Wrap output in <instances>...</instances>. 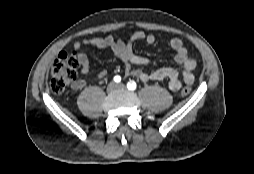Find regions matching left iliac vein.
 Returning <instances> with one entry per match:
<instances>
[{"mask_svg": "<svg viewBox=\"0 0 254 174\" xmlns=\"http://www.w3.org/2000/svg\"><path fill=\"white\" fill-rule=\"evenodd\" d=\"M117 88L123 89V88H125V86H124L123 84H118V85H117Z\"/></svg>", "mask_w": 254, "mask_h": 174, "instance_id": "1", "label": "left iliac vein"}]
</instances>
